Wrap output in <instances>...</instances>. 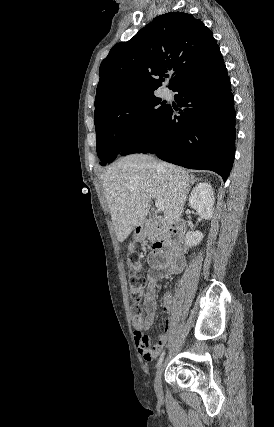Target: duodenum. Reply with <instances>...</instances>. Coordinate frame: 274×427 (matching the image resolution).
Returning <instances> with one entry per match:
<instances>
[{
    "instance_id": "obj_1",
    "label": "duodenum",
    "mask_w": 274,
    "mask_h": 427,
    "mask_svg": "<svg viewBox=\"0 0 274 427\" xmlns=\"http://www.w3.org/2000/svg\"><path fill=\"white\" fill-rule=\"evenodd\" d=\"M154 227L155 229V240L154 244L156 247H164L167 246L171 237L178 229L177 224H173L171 226H166L161 224L157 220H149L143 226L138 228L139 233H143L147 228Z\"/></svg>"
}]
</instances>
